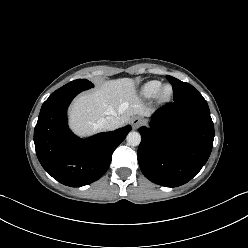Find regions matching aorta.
Segmentation results:
<instances>
[{
  "label": "aorta",
  "mask_w": 248,
  "mask_h": 248,
  "mask_svg": "<svg viewBox=\"0 0 248 248\" xmlns=\"http://www.w3.org/2000/svg\"><path fill=\"white\" fill-rule=\"evenodd\" d=\"M127 143L130 146H138L141 142V135L138 132H130L126 137Z\"/></svg>",
  "instance_id": "762f6f07"
}]
</instances>
